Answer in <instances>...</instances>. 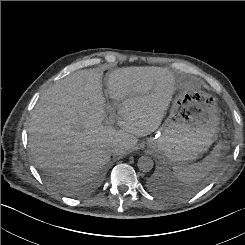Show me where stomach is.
Listing matches in <instances>:
<instances>
[{
	"instance_id": "stomach-1",
	"label": "stomach",
	"mask_w": 245,
	"mask_h": 245,
	"mask_svg": "<svg viewBox=\"0 0 245 245\" xmlns=\"http://www.w3.org/2000/svg\"><path fill=\"white\" fill-rule=\"evenodd\" d=\"M179 94L157 136L148 146L176 164L200 158L220 131L217 99L192 79L178 81Z\"/></svg>"
}]
</instances>
